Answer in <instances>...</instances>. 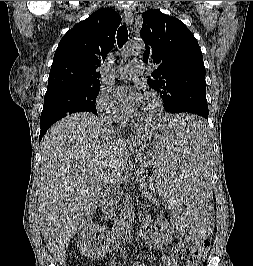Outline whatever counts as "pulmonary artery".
Instances as JSON below:
<instances>
[{
    "label": "pulmonary artery",
    "instance_id": "e3ab8cb5",
    "mask_svg": "<svg viewBox=\"0 0 253 266\" xmlns=\"http://www.w3.org/2000/svg\"><path fill=\"white\" fill-rule=\"evenodd\" d=\"M144 71V65L141 61H131L129 64L119 68L116 71V76L121 79H134L141 75Z\"/></svg>",
    "mask_w": 253,
    "mask_h": 266
}]
</instances>
